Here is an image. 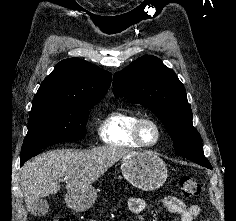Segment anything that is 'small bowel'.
Returning <instances> with one entry per match:
<instances>
[{
	"mask_svg": "<svg viewBox=\"0 0 236 221\" xmlns=\"http://www.w3.org/2000/svg\"><path fill=\"white\" fill-rule=\"evenodd\" d=\"M160 204L166 211L178 216L179 221H194L201 213V207L198 204L187 205L183 200L172 195L162 198ZM146 206L143 198L131 197L128 199V209L139 221H142L141 214Z\"/></svg>",
	"mask_w": 236,
	"mask_h": 221,
	"instance_id": "obj_1",
	"label": "small bowel"
}]
</instances>
